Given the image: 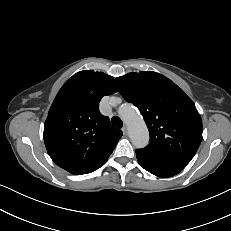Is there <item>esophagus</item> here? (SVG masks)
Wrapping results in <instances>:
<instances>
[{
    "instance_id": "1",
    "label": "esophagus",
    "mask_w": 231,
    "mask_h": 231,
    "mask_svg": "<svg viewBox=\"0 0 231 231\" xmlns=\"http://www.w3.org/2000/svg\"><path fill=\"white\" fill-rule=\"evenodd\" d=\"M122 131H123V133L126 135L127 134V126L126 125H124L123 127H122Z\"/></svg>"
}]
</instances>
